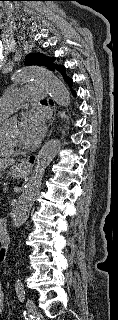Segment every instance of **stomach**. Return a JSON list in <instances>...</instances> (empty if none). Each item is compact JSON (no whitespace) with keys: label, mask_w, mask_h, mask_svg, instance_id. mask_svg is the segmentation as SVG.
Segmentation results:
<instances>
[{"label":"stomach","mask_w":118,"mask_h":320,"mask_svg":"<svg viewBox=\"0 0 118 320\" xmlns=\"http://www.w3.org/2000/svg\"><path fill=\"white\" fill-rule=\"evenodd\" d=\"M28 170H29L28 165L24 163H20L18 165H13L10 168V175L14 178L24 177L27 174Z\"/></svg>","instance_id":"obj_1"}]
</instances>
